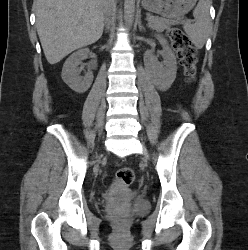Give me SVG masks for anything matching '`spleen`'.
I'll use <instances>...</instances> for the list:
<instances>
[{"label": "spleen", "instance_id": "obj_1", "mask_svg": "<svg viewBox=\"0 0 248 250\" xmlns=\"http://www.w3.org/2000/svg\"><path fill=\"white\" fill-rule=\"evenodd\" d=\"M209 7V0H199L193 11L195 23L183 25V29L188 35L190 41L198 49H201L204 46L211 29Z\"/></svg>", "mask_w": 248, "mask_h": 250}]
</instances>
